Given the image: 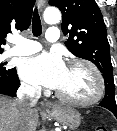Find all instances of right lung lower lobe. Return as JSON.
<instances>
[{
    "label": "right lung lower lobe",
    "instance_id": "obj_1",
    "mask_svg": "<svg viewBox=\"0 0 117 131\" xmlns=\"http://www.w3.org/2000/svg\"><path fill=\"white\" fill-rule=\"evenodd\" d=\"M19 85L20 81L15 69L11 76H8L7 78H0V94L15 97Z\"/></svg>",
    "mask_w": 117,
    "mask_h": 131
}]
</instances>
